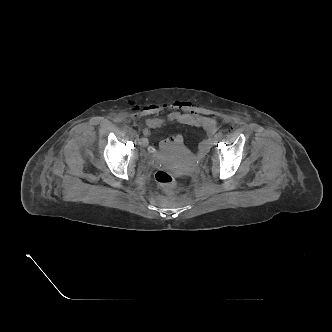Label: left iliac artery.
<instances>
[{
    "label": "left iliac artery",
    "instance_id": "obj_1",
    "mask_svg": "<svg viewBox=\"0 0 332 332\" xmlns=\"http://www.w3.org/2000/svg\"><path fill=\"white\" fill-rule=\"evenodd\" d=\"M216 135H217L219 138H221V137H223L224 133H223L222 131H220V132H218Z\"/></svg>",
    "mask_w": 332,
    "mask_h": 332
}]
</instances>
